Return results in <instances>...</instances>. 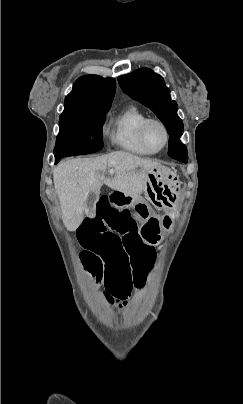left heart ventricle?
Wrapping results in <instances>:
<instances>
[{"label": "left heart ventricle", "instance_id": "obj_1", "mask_svg": "<svg viewBox=\"0 0 243 404\" xmlns=\"http://www.w3.org/2000/svg\"><path fill=\"white\" fill-rule=\"evenodd\" d=\"M146 137L153 148H160L165 142L164 131L156 123H152L147 127Z\"/></svg>", "mask_w": 243, "mask_h": 404}]
</instances>
